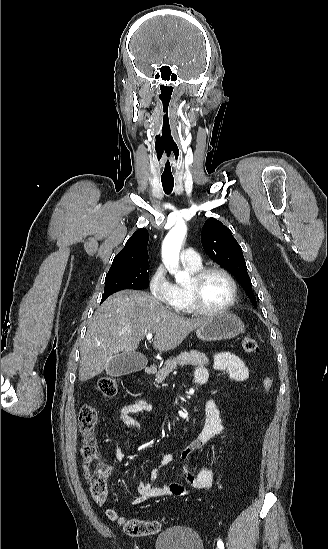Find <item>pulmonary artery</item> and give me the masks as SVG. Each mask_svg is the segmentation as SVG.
Returning <instances> with one entry per match:
<instances>
[{
    "label": "pulmonary artery",
    "mask_w": 328,
    "mask_h": 549,
    "mask_svg": "<svg viewBox=\"0 0 328 549\" xmlns=\"http://www.w3.org/2000/svg\"><path fill=\"white\" fill-rule=\"evenodd\" d=\"M181 258L187 262H197L200 259L198 250L195 247L186 248L181 253Z\"/></svg>",
    "instance_id": "e3ab8cb5"
}]
</instances>
